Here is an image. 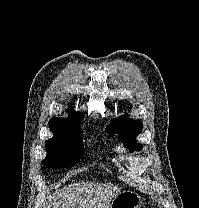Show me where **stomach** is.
<instances>
[{
  "label": "stomach",
  "mask_w": 199,
  "mask_h": 208,
  "mask_svg": "<svg viewBox=\"0 0 199 208\" xmlns=\"http://www.w3.org/2000/svg\"><path fill=\"white\" fill-rule=\"evenodd\" d=\"M140 195L134 191L120 192L111 202L109 208H140Z\"/></svg>",
  "instance_id": "0dacf381"
}]
</instances>
